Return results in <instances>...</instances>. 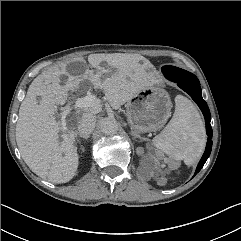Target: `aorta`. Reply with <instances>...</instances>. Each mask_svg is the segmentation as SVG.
I'll use <instances>...</instances> for the list:
<instances>
[{
  "mask_svg": "<svg viewBox=\"0 0 241 241\" xmlns=\"http://www.w3.org/2000/svg\"><path fill=\"white\" fill-rule=\"evenodd\" d=\"M100 127L105 135H113L118 131V123L116 119L110 117L103 118L100 122Z\"/></svg>",
  "mask_w": 241,
  "mask_h": 241,
  "instance_id": "aorta-1",
  "label": "aorta"
}]
</instances>
